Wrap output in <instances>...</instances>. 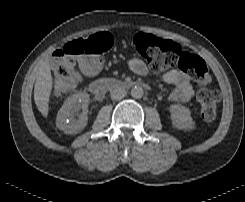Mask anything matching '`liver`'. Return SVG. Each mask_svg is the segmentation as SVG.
Returning a JSON list of instances; mask_svg holds the SVG:
<instances>
[{"label":"liver","mask_w":245,"mask_h":202,"mask_svg":"<svg viewBox=\"0 0 245 202\" xmlns=\"http://www.w3.org/2000/svg\"><path fill=\"white\" fill-rule=\"evenodd\" d=\"M53 80L49 63L44 61L38 67V75L34 87V100L38 110L44 117L49 113V99L52 91Z\"/></svg>","instance_id":"obj_1"}]
</instances>
